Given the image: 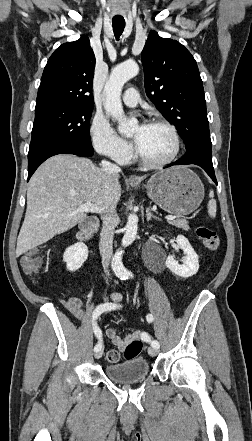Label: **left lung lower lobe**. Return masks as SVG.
Returning a JSON list of instances; mask_svg holds the SVG:
<instances>
[{"label":"left lung lower lobe","instance_id":"obj_1","mask_svg":"<svg viewBox=\"0 0 252 441\" xmlns=\"http://www.w3.org/2000/svg\"><path fill=\"white\" fill-rule=\"evenodd\" d=\"M187 164H195L202 167L211 177V179L217 184L214 168L212 164V149H208V148L192 149L190 151H187L183 157H181L174 163H171L170 165L164 168H168L173 165H187Z\"/></svg>","mask_w":252,"mask_h":441}]
</instances>
